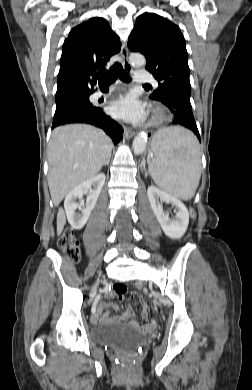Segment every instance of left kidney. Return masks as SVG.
I'll return each mask as SVG.
<instances>
[{
    "mask_svg": "<svg viewBox=\"0 0 252 390\" xmlns=\"http://www.w3.org/2000/svg\"><path fill=\"white\" fill-rule=\"evenodd\" d=\"M151 208L163 230L172 239L181 238L188 227L189 213L185 205L175 196L158 189L155 186L147 190ZM162 202L172 204L177 208L176 215L170 219L169 213L163 210Z\"/></svg>",
    "mask_w": 252,
    "mask_h": 390,
    "instance_id": "left-kidney-1",
    "label": "left kidney"
}]
</instances>
